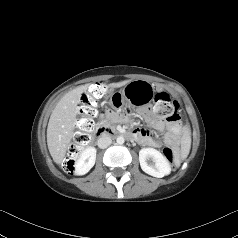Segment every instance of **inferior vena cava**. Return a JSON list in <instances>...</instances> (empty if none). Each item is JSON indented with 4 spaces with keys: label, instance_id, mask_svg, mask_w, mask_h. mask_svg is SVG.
<instances>
[{
    "label": "inferior vena cava",
    "instance_id": "obj_1",
    "mask_svg": "<svg viewBox=\"0 0 238 238\" xmlns=\"http://www.w3.org/2000/svg\"><path fill=\"white\" fill-rule=\"evenodd\" d=\"M112 143L111 138L108 135H102L98 139V147L101 149L107 148Z\"/></svg>",
    "mask_w": 238,
    "mask_h": 238
}]
</instances>
